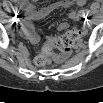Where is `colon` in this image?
<instances>
[{"instance_id": "1", "label": "colon", "mask_w": 103, "mask_h": 103, "mask_svg": "<svg viewBox=\"0 0 103 103\" xmlns=\"http://www.w3.org/2000/svg\"><path fill=\"white\" fill-rule=\"evenodd\" d=\"M73 18L76 21H83L85 16L83 13H74ZM80 37V31L78 29H72L65 34L49 39L42 47L41 52L37 55L35 62L38 66L44 67L51 63L53 53L55 50H59L64 54H67ZM59 56L58 59H61Z\"/></svg>"}]
</instances>
